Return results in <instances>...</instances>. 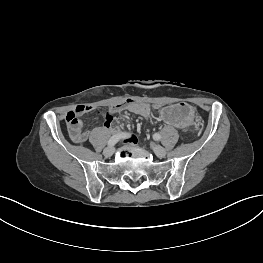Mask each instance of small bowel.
<instances>
[{"mask_svg": "<svg viewBox=\"0 0 263 263\" xmlns=\"http://www.w3.org/2000/svg\"><path fill=\"white\" fill-rule=\"evenodd\" d=\"M128 110L129 112L142 116V117H148L151 114V109L149 106L141 104L140 102L136 100L129 99L127 102H124L123 104H118L115 106H112L110 108L111 116L109 119H105L104 121V127L106 129H112L111 123H112V114H117L121 112L122 110ZM94 110V107L91 105H82L76 108L74 111L78 116L83 115L85 113L91 112ZM130 141L134 142L135 137L131 138Z\"/></svg>", "mask_w": 263, "mask_h": 263, "instance_id": "obj_1", "label": "small bowel"}]
</instances>
